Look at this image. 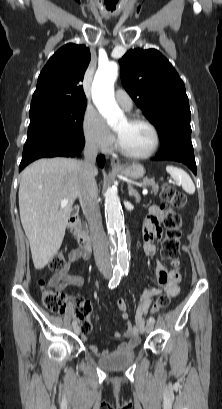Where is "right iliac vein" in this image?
<instances>
[{"mask_svg": "<svg viewBox=\"0 0 222 409\" xmlns=\"http://www.w3.org/2000/svg\"><path fill=\"white\" fill-rule=\"evenodd\" d=\"M74 332L76 333V334H79L80 333V327L79 326H74Z\"/></svg>", "mask_w": 222, "mask_h": 409, "instance_id": "right-iliac-vein-1", "label": "right iliac vein"}]
</instances>
